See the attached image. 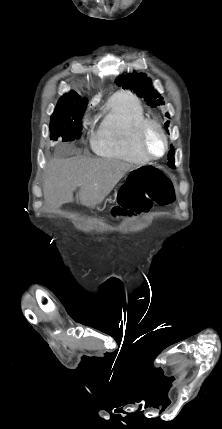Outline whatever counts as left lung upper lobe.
Returning <instances> with one entry per match:
<instances>
[{"label":"left lung upper lobe","instance_id":"obj_1","mask_svg":"<svg viewBox=\"0 0 222 429\" xmlns=\"http://www.w3.org/2000/svg\"><path fill=\"white\" fill-rule=\"evenodd\" d=\"M116 83L123 88L133 89L139 97H143L148 105L151 107H156L158 105H163L164 101L160 94L152 88L151 80L142 73H128L120 75L116 79ZM166 116L169 118L168 113ZM169 122L165 123V128L168 131ZM174 148L171 147V150L168 153V166L174 168Z\"/></svg>","mask_w":222,"mask_h":429}]
</instances>
